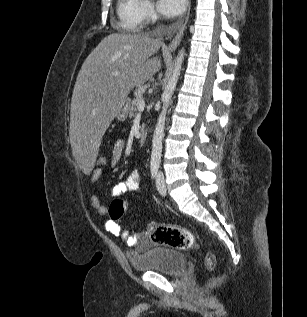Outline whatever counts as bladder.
Instances as JSON below:
<instances>
[{
  "mask_svg": "<svg viewBox=\"0 0 307 317\" xmlns=\"http://www.w3.org/2000/svg\"><path fill=\"white\" fill-rule=\"evenodd\" d=\"M128 260L136 272L178 275L186 266V257L183 253L165 247L152 248L141 256L128 255Z\"/></svg>",
  "mask_w": 307,
  "mask_h": 317,
  "instance_id": "31cf9c89",
  "label": "bladder"
}]
</instances>
